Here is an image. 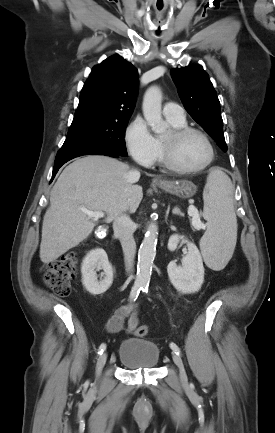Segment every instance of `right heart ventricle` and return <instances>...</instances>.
<instances>
[{"label":"right heart ventricle","mask_w":275,"mask_h":433,"mask_svg":"<svg viewBox=\"0 0 275 433\" xmlns=\"http://www.w3.org/2000/svg\"><path fill=\"white\" fill-rule=\"evenodd\" d=\"M168 123L172 126V128H179V127H184L186 126V120H173V119H169L167 118ZM159 143V155H158V159L159 161H162L163 159V154H162V144L161 141L158 140Z\"/></svg>","instance_id":"right-heart-ventricle-1"}]
</instances>
